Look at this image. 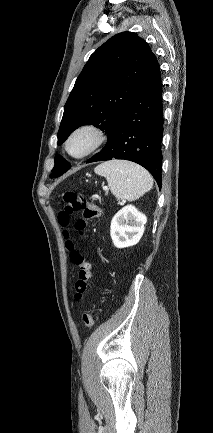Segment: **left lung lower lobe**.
Masks as SVG:
<instances>
[{
	"label": "left lung lower lobe",
	"instance_id": "obj_1",
	"mask_svg": "<svg viewBox=\"0 0 213 433\" xmlns=\"http://www.w3.org/2000/svg\"><path fill=\"white\" fill-rule=\"evenodd\" d=\"M162 88L158 62L113 125L106 146L86 163L112 159L146 168L161 189Z\"/></svg>",
	"mask_w": 213,
	"mask_h": 433
}]
</instances>
